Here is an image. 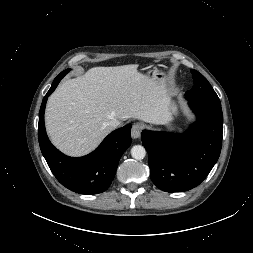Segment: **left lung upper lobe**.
I'll return each mask as SVG.
<instances>
[{
	"instance_id": "left-lung-upper-lobe-1",
	"label": "left lung upper lobe",
	"mask_w": 253,
	"mask_h": 253,
	"mask_svg": "<svg viewBox=\"0 0 253 253\" xmlns=\"http://www.w3.org/2000/svg\"><path fill=\"white\" fill-rule=\"evenodd\" d=\"M194 86L186 92L188 100L220 102L208 80L196 70H191Z\"/></svg>"
}]
</instances>
